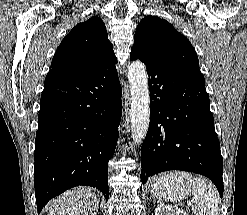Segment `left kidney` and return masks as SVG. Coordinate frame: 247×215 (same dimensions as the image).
I'll return each instance as SVG.
<instances>
[{"label": "left kidney", "instance_id": "5707ae66", "mask_svg": "<svg viewBox=\"0 0 247 215\" xmlns=\"http://www.w3.org/2000/svg\"><path fill=\"white\" fill-rule=\"evenodd\" d=\"M155 215H188V214L175 206L165 205L162 203L158 205L157 208L155 209Z\"/></svg>", "mask_w": 247, "mask_h": 215}]
</instances>
